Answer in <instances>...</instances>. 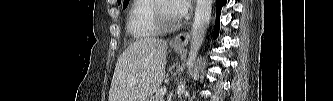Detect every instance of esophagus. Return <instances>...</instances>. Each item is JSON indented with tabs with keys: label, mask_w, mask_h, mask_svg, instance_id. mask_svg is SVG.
<instances>
[{
	"label": "esophagus",
	"mask_w": 333,
	"mask_h": 101,
	"mask_svg": "<svg viewBox=\"0 0 333 101\" xmlns=\"http://www.w3.org/2000/svg\"><path fill=\"white\" fill-rule=\"evenodd\" d=\"M190 35L187 32L179 33L172 41L175 47H184L189 41Z\"/></svg>",
	"instance_id": "obj_1"
}]
</instances>
